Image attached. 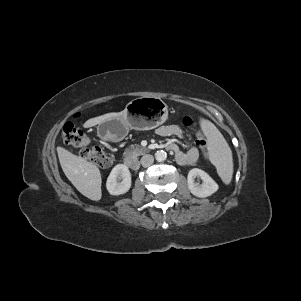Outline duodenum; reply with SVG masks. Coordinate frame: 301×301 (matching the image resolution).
Wrapping results in <instances>:
<instances>
[{
    "label": "duodenum",
    "mask_w": 301,
    "mask_h": 301,
    "mask_svg": "<svg viewBox=\"0 0 301 301\" xmlns=\"http://www.w3.org/2000/svg\"><path fill=\"white\" fill-rule=\"evenodd\" d=\"M112 147V142L111 141H106L105 145H104V150L105 151H110ZM125 165L130 168V169H136L138 167V163L136 160L132 159V158H128L125 160Z\"/></svg>",
    "instance_id": "duodenum-1"
}]
</instances>
